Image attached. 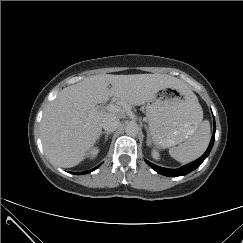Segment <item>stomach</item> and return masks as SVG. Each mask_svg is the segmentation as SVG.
Wrapping results in <instances>:
<instances>
[{
	"instance_id": "0dacf381",
	"label": "stomach",
	"mask_w": 243,
	"mask_h": 243,
	"mask_svg": "<svg viewBox=\"0 0 243 243\" xmlns=\"http://www.w3.org/2000/svg\"><path fill=\"white\" fill-rule=\"evenodd\" d=\"M197 97L190 90L163 89L147 103L146 117L153 142L167 148L189 138L199 127Z\"/></svg>"
}]
</instances>
